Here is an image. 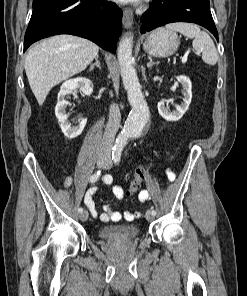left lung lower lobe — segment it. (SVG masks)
Masks as SVG:
<instances>
[{
    "mask_svg": "<svg viewBox=\"0 0 247 296\" xmlns=\"http://www.w3.org/2000/svg\"><path fill=\"white\" fill-rule=\"evenodd\" d=\"M173 22H191L207 28L218 41L209 0H153L143 14L141 33Z\"/></svg>",
    "mask_w": 247,
    "mask_h": 296,
    "instance_id": "obj_1",
    "label": "left lung lower lobe"
}]
</instances>
